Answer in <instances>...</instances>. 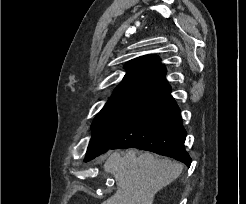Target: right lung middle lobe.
I'll use <instances>...</instances> for the list:
<instances>
[{
    "mask_svg": "<svg viewBox=\"0 0 246 204\" xmlns=\"http://www.w3.org/2000/svg\"><path fill=\"white\" fill-rule=\"evenodd\" d=\"M133 100L108 101L92 123V138L86 157L107 152L114 142L122 121Z\"/></svg>",
    "mask_w": 246,
    "mask_h": 204,
    "instance_id": "right-lung-middle-lobe-1",
    "label": "right lung middle lobe"
}]
</instances>
